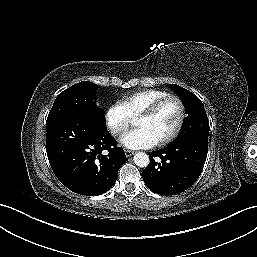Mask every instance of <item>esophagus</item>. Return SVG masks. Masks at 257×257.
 Returning <instances> with one entry per match:
<instances>
[{
  "label": "esophagus",
  "mask_w": 257,
  "mask_h": 257,
  "mask_svg": "<svg viewBox=\"0 0 257 257\" xmlns=\"http://www.w3.org/2000/svg\"><path fill=\"white\" fill-rule=\"evenodd\" d=\"M133 154H134V151L128 150V149L125 150V155H126V157H130V156H132Z\"/></svg>",
  "instance_id": "esophagus-1"
}]
</instances>
